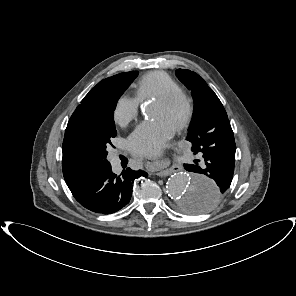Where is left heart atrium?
I'll return each instance as SVG.
<instances>
[{
    "mask_svg": "<svg viewBox=\"0 0 296 296\" xmlns=\"http://www.w3.org/2000/svg\"><path fill=\"white\" fill-rule=\"evenodd\" d=\"M174 128L160 118L138 125L127 139L129 150L138 156L157 155L171 140Z\"/></svg>",
    "mask_w": 296,
    "mask_h": 296,
    "instance_id": "obj_1",
    "label": "left heart atrium"
}]
</instances>
